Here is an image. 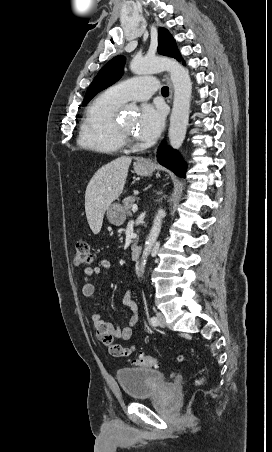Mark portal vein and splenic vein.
Wrapping results in <instances>:
<instances>
[{"label":"portal vein and splenic vein","mask_w":272,"mask_h":452,"mask_svg":"<svg viewBox=\"0 0 272 452\" xmlns=\"http://www.w3.org/2000/svg\"><path fill=\"white\" fill-rule=\"evenodd\" d=\"M137 209H138L137 205H136V204H134V205L132 206V211H133V212H136V211H137Z\"/></svg>","instance_id":"obj_1"}]
</instances>
